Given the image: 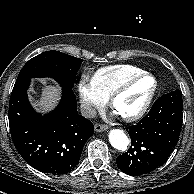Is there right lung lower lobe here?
I'll return each mask as SVG.
<instances>
[{
  "label": "right lung lower lobe",
  "mask_w": 194,
  "mask_h": 194,
  "mask_svg": "<svg viewBox=\"0 0 194 194\" xmlns=\"http://www.w3.org/2000/svg\"><path fill=\"white\" fill-rule=\"evenodd\" d=\"M30 79L17 81L9 102L13 143L32 167L50 174H66L79 163L83 147L94 132L91 121L77 113L76 97L63 87L57 108L42 116L28 101Z\"/></svg>",
  "instance_id": "1"
}]
</instances>
